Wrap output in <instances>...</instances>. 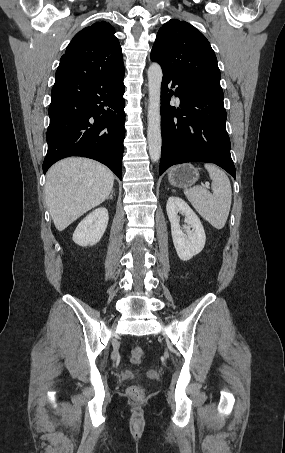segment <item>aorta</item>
<instances>
[{
    "mask_svg": "<svg viewBox=\"0 0 285 453\" xmlns=\"http://www.w3.org/2000/svg\"><path fill=\"white\" fill-rule=\"evenodd\" d=\"M162 76L161 66L158 63H152L148 69L149 107L147 138L149 155L153 162H157L161 156L160 95Z\"/></svg>",
    "mask_w": 285,
    "mask_h": 453,
    "instance_id": "1",
    "label": "aorta"
}]
</instances>
